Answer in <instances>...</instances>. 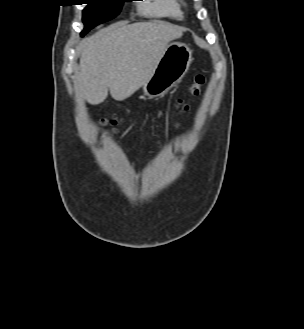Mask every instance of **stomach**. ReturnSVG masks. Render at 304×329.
I'll return each mask as SVG.
<instances>
[{"mask_svg": "<svg viewBox=\"0 0 304 329\" xmlns=\"http://www.w3.org/2000/svg\"><path fill=\"white\" fill-rule=\"evenodd\" d=\"M192 50L184 43L172 42L157 64L151 78L142 86L149 98L160 97L181 81L192 62Z\"/></svg>", "mask_w": 304, "mask_h": 329, "instance_id": "0dacf381", "label": "stomach"}]
</instances>
